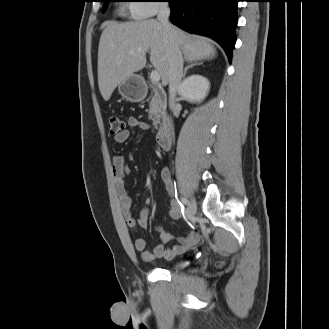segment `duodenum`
I'll return each mask as SVG.
<instances>
[{"label":"duodenum","mask_w":329,"mask_h":329,"mask_svg":"<svg viewBox=\"0 0 329 329\" xmlns=\"http://www.w3.org/2000/svg\"><path fill=\"white\" fill-rule=\"evenodd\" d=\"M157 140L163 149H169L173 142L172 123L168 117H165L159 125Z\"/></svg>","instance_id":"1"}]
</instances>
